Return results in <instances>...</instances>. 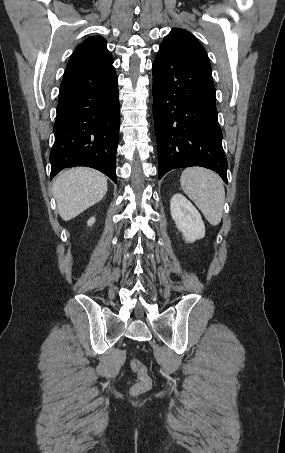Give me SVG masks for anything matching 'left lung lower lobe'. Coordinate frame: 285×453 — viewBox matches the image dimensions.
<instances>
[{
    "instance_id": "left-lung-lower-lobe-1",
    "label": "left lung lower lobe",
    "mask_w": 285,
    "mask_h": 453,
    "mask_svg": "<svg viewBox=\"0 0 285 453\" xmlns=\"http://www.w3.org/2000/svg\"><path fill=\"white\" fill-rule=\"evenodd\" d=\"M153 92L159 179L172 169L202 166L227 183L211 71L159 49L153 62Z\"/></svg>"
}]
</instances>
